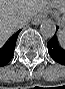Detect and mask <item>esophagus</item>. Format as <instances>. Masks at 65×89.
I'll return each mask as SVG.
<instances>
[{"mask_svg": "<svg viewBox=\"0 0 65 89\" xmlns=\"http://www.w3.org/2000/svg\"><path fill=\"white\" fill-rule=\"evenodd\" d=\"M45 19V16L43 14H37L33 19L32 23L34 25H39L43 20Z\"/></svg>", "mask_w": 65, "mask_h": 89, "instance_id": "1", "label": "esophagus"}]
</instances>
